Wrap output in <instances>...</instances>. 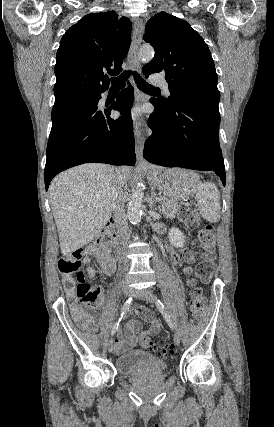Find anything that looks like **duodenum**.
Returning a JSON list of instances; mask_svg holds the SVG:
<instances>
[{"mask_svg":"<svg viewBox=\"0 0 274 427\" xmlns=\"http://www.w3.org/2000/svg\"><path fill=\"white\" fill-rule=\"evenodd\" d=\"M104 235L110 240V245L112 247V250L116 247V232H115V224L112 219H110L105 227H104ZM111 256L113 255V252L110 253Z\"/></svg>","mask_w":274,"mask_h":427,"instance_id":"1","label":"duodenum"}]
</instances>
